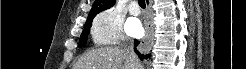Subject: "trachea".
I'll list each match as a JSON object with an SVG mask.
<instances>
[{
  "instance_id": "trachea-1",
  "label": "trachea",
  "mask_w": 246,
  "mask_h": 69,
  "mask_svg": "<svg viewBox=\"0 0 246 69\" xmlns=\"http://www.w3.org/2000/svg\"><path fill=\"white\" fill-rule=\"evenodd\" d=\"M138 3H139L141 8H143V9L145 8V6H146L145 5V0H138Z\"/></svg>"
}]
</instances>
